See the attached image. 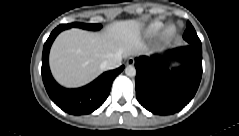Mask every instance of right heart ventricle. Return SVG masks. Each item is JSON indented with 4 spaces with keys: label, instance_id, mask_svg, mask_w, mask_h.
Segmentation results:
<instances>
[{
    "label": "right heart ventricle",
    "instance_id": "1",
    "mask_svg": "<svg viewBox=\"0 0 239 136\" xmlns=\"http://www.w3.org/2000/svg\"><path fill=\"white\" fill-rule=\"evenodd\" d=\"M162 28H163L162 23H160V22H154V23H152V24L150 25L149 31H150V33H152V34H156V33L160 32V31L162 30Z\"/></svg>",
    "mask_w": 239,
    "mask_h": 136
}]
</instances>
